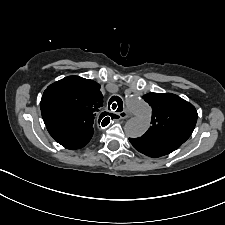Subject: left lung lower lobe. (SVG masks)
<instances>
[{
  "instance_id": "left-lung-lower-lobe-1",
  "label": "left lung lower lobe",
  "mask_w": 225,
  "mask_h": 225,
  "mask_svg": "<svg viewBox=\"0 0 225 225\" xmlns=\"http://www.w3.org/2000/svg\"><path fill=\"white\" fill-rule=\"evenodd\" d=\"M133 147L146 156L157 158L167 155L181 146L182 143L169 141H156L143 137L131 139Z\"/></svg>"
}]
</instances>
